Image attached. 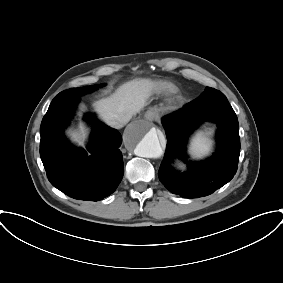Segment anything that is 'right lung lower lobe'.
<instances>
[{"label":"right lung lower lobe","mask_w":283,"mask_h":283,"mask_svg":"<svg viewBox=\"0 0 283 283\" xmlns=\"http://www.w3.org/2000/svg\"><path fill=\"white\" fill-rule=\"evenodd\" d=\"M80 95L56 96L40 126V156L51 184L79 200L98 201L113 193L124 172L120 133L96 123L85 150L72 147L63 135Z\"/></svg>","instance_id":"right-lung-lower-lobe-1"}]
</instances>
